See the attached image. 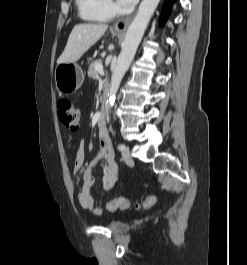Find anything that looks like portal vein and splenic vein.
Masks as SVG:
<instances>
[{"label": "portal vein and splenic vein", "mask_w": 247, "mask_h": 265, "mask_svg": "<svg viewBox=\"0 0 247 265\" xmlns=\"http://www.w3.org/2000/svg\"><path fill=\"white\" fill-rule=\"evenodd\" d=\"M96 70L100 73H103V66L102 65H98L96 66Z\"/></svg>", "instance_id": "1"}]
</instances>
